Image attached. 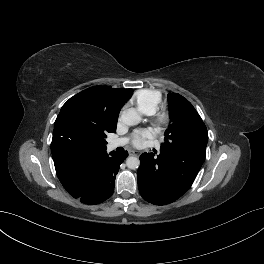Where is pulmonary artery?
<instances>
[{"label": "pulmonary artery", "mask_w": 264, "mask_h": 264, "mask_svg": "<svg viewBox=\"0 0 264 264\" xmlns=\"http://www.w3.org/2000/svg\"><path fill=\"white\" fill-rule=\"evenodd\" d=\"M127 142H128L127 138L114 139V140L110 141L108 146L110 149H115L117 147L124 146Z\"/></svg>", "instance_id": "pulmonary-artery-1"}]
</instances>
